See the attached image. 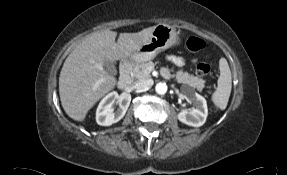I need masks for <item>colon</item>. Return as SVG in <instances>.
Wrapping results in <instances>:
<instances>
[{"label": "colon", "instance_id": "obj_1", "mask_svg": "<svg viewBox=\"0 0 287 175\" xmlns=\"http://www.w3.org/2000/svg\"><path fill=\"white\" fill-rule=\"evenodd\" d=\"M187 49L192 52H199L205 48V42L197 37L191 36L186 43ZM210 64L205 58L200 59L196 65V72L201 77H208L210 74Z\"/></svg>", "mask_w": 287, "mask_h": 175}]
</instances>
